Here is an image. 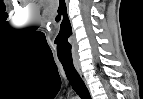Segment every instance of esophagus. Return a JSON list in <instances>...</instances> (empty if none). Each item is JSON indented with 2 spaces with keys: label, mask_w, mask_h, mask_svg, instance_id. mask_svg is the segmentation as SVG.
Instances as JSON below:
<instances>
[{
  "label": "esophagus",
  "mask_w": 143,
  "mask_h": 99,
  "mask_svg": "<svg viewBox=\"0 0 143 99\" xmlns=\"http://www.w3.org/2000/svg\"><path fill=\"white\" fill-rule=\"evenodd\" d=\"M74 66H75L77 72L79 73V75L81 76V78H82L83 80H85L79 62L75 61V62H74Z\"/></svg>",
  "instance_id": "esophagus-1"
}]
</instances>
